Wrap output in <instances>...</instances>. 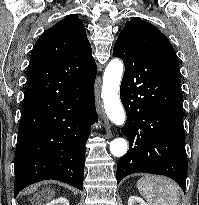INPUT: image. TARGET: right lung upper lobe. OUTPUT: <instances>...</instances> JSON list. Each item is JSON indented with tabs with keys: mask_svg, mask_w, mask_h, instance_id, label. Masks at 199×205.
<instances>
[{
	"mask_svg": "<svg viewBox=\"0 0 199 205\" xmlns=\"http://www.w3.org/2000/svg\"><path fill=\"white\" fill-rule=\"evenodd\" d=\"M96 71L83 23L77 15L65 17L47 29L33 47L27 84L39 82L44 87L24 93L21 116L65 95L75 82L95 77Z\"/></svg>",
	"mask_w": 199,
	"mask_h": 205,
	"instance_id": "right-lung-upper-lobe-1",
	"label": "right lung upper lobe"
}]
</instances>
